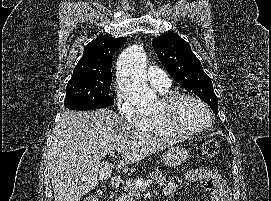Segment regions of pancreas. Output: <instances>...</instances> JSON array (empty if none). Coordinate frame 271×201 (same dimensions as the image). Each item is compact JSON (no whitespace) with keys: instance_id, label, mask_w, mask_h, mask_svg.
I'll use <instances>...</instances> for the list:
<instances>
[{"instance_id":"cf45deb5","label":"pancreas","mask_w":271,"mask_h":201,"mask_svg":"<svg viewBox=\"0 0 271 201\" xmlns=\"http://www.w3.org/2000/svg\"><path fill=\"white\" fill-rule=\"evenodd\" d=\"M149 177L155 180L160 186H165L167 183L166 177L162 176V172L158 169L151 172ZM140 196V190L134 185V181L128 180L126 181L119 196L115 198V201H139Z\"/></svg>"}]
</instances>
